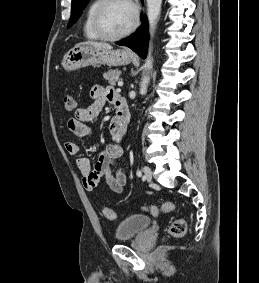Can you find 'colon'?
<instances>
[{
	"label": "colon",
	"mask_w": 259,
	"mask_h": 283,
	"mask_svg": "<svg viewBox=\"0 0 259 283\" xmlns=\"http://www.w3.org/2000/svg\"><path fill=\"white\" fill-rule=\"evenodd\" d=\"M64 104L65 108L68 111H72L76 108L77 102L75 97L72 94H66L64 97ZM144 210L150 213L153 216H158L162 213H170L175 210V204L172 201H166L162 203L161 205H150L147 207H144ZM103 214L106 219L108 220H114L115 219V213L110 208H104ZM187 228V223L184 217H178L175 219L168 228V236L173 238H179L182 237Z\"/></svg>",
	"instance_id": "1"
}]
</instances>
